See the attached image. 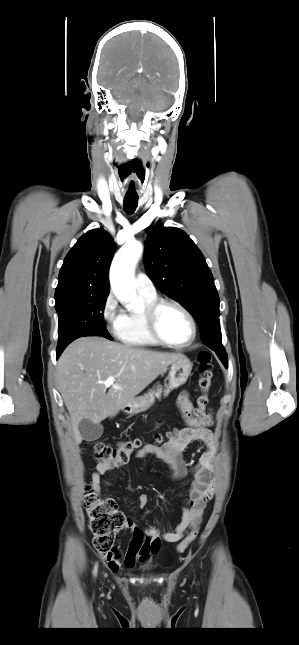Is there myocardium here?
<instances>
[{
  "mask_svg": "<svg viewBox=\"0 0 299 645\" xmlns=\"http://www.w3.org/2000/svg\"><path fill=\"white\" fill-rule=\"evenodd\" d=\"M166 306H173L182 311L185 316L188 318L191 325V335L189 339L185 342L175 343L165 339L158 326L159 315L161 310ZM145 321L146 326L151 334V336L159 343L172 348H183L191 345L197 335V324L192 313L180 302L173 299H157L153 303L149 304L145 309Z\"/></svg>",
  "mask_w": 299,
  "mask_h": 645,
  "instance_id": "obj_1",
  "label": "myocardium"
}]
</instances>
